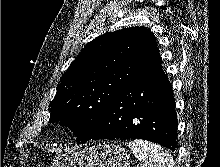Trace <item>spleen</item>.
Instances as JSON below:
<instances>
[{
	"mask_svg": "<svg viewBox=\"0 0 220 167\" xmlns=\"http://www.w3.org/2000/svg\"><path fill=\"white\" fill-rule=\"evenodd\" d=\"M128 146L142 162L140 167H175L171 154L158 144L135 139L129 142Z\"/></svg>",
	"mask_w": 220,
	"mask_h": 167,
	"instance_id": "3e777b00",
	"label": "spleen"
}]
</instances>
